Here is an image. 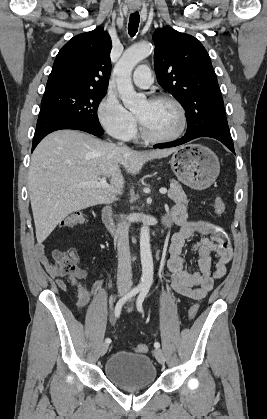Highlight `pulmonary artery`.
<instances>
[{"instance_id": "obj_1", "label": "pulmonary artery", "mask_w": 267, "mask_h": 419, "mask_svg": "<svg viewBox=\"0 0 267 419\" xmlns=\"http://www.w3.org/2000/svg\"><path fill=\"white\" fill-rule=\"evenodd\" d=\"M133 82L140 88H148L153 83L150 68L147 65L138 66L133 73Z\"/></svg>"}]
</instances>
